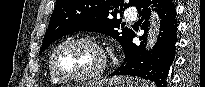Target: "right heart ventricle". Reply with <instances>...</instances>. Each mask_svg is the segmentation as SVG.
Wrapping results in <instances>:
<instances>
[{
	"instance_id": "obj_1",
	"label": "right heart ventricle",
	"mask_w": 205,
	"mask_h": 87,
	"mask_svg": "<svg viewBox=\"0 0 205 87\" xmlns=\"http://www.w3.org/2000/svg\"><path fill=\"white\" fill-rule=\"evenodd\" d=\"M49 75H50L51 82H52L53 84H59V83H61L59 80H57V79L52 75V73L50 72V68H49Z\"/></svg>"
}]
</instances>
